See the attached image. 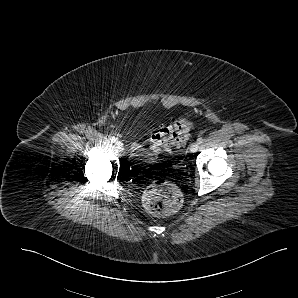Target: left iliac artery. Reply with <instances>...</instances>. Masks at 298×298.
Returning a JSON list of instances; mask_svg holds the SVG:
<instances>
[{
  "mask_svg": "<svg viewBox=\"0 0 298 298\" xmlns=\"http://www.w3.org/2000/svg\"><path fill=\"white\" fill-rule=\"evenodd\" d=\"M203 141H204V139H203L202 137H199V138L197 139V142H198L199 144H201Z\"/></svg>",
  "mask_w": 298,
  "mask_h": 298,
  "instance_id": "left-iliac-artery-1",
  "label": "left iliac artery"
}]
</instances>
